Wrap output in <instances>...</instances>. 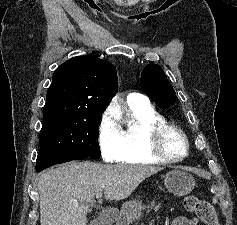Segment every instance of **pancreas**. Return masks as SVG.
Returning <instances> with one entry per match:
<instances>
[{"label": "pancreas", "instance_id": "pancreas-1", "mask_svg": "<svg viewBox=\"0 0 237 225\" xmlns=\"http://www.w3.org/2000/svg\"><path fill=\"white\" fill-rule=\"evenodd\" d=\"M160 207V204H156L154 201L150 202V204H148L145 208H147L148 210L149 209H159Z\"/></svg>", "mask_w": 237, "mask_h": 225}]
</instances>
